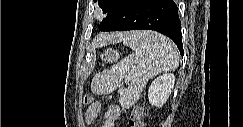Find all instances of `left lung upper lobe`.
Here are the masks:
<instances>
[{
	"label": "left lung upper lobe",
	"mask_w": 243,
	"mask_h": 127,
	"mask_svg": "<svg viewBox=\"0 0 243 127\" xmlns=\"http://www.w3.org/2000/svg\"><path fill=\"white\" fill-rule=\"evenodd\" d=\"M95 2H98L99 6L103 7V12H108V15H110L123 0H94ZM107 15V16H108ZM106 18L102 20V22L99 25V28H102L106 25Z\"/></svg>",
	"instance_id": "left-lung-upper-lobe-1"
}]
</instances>
